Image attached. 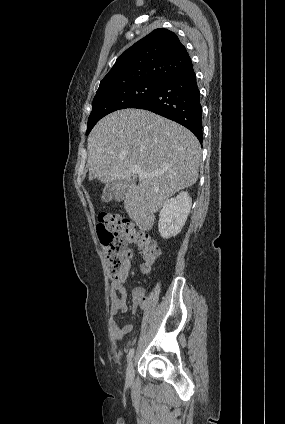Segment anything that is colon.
Returning <instances> with one entry per match:
<instances>
[{
	"label": "colon",
	"instance_id": "colon-1",
	"mask_svg": "<svg viewBox=\"0 0 285 424\" xmlns=\"http://www.w3.org/2000/svg\"><path fill=\"white\" fill-rule=\"evenodd\" d=\"M97 236L103 245L104 258L111 278L117 279L131 258L127 243L138 247L144 258L143 271H148L161 254L155 240L126 219L112 214L100 216L96 224Z\"/></svg>",
	"mask_w": 285,
	"mask_h": 424
}]
</instances>
